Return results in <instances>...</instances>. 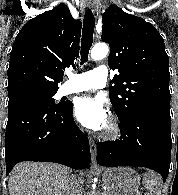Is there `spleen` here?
I'll return each mask as SVG.
<instances>
[{"mask_svg":"<svg viewBox=\"0 0 178 195\" xmlns=\"http://www.w3.org/2000/svg\"><path fill=\"white\" fill-rule=\"evenodd\" d=\"M143 185L150 192V195H160L162 183L158 174L146 173L143 177Z\"/></svg>","mask_w":178,"mask_h":195,"instance_id":"1","label":"spleen"}]
</instances>
